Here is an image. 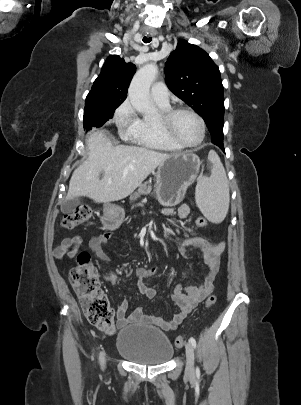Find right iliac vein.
Here are the masks:
<instances>
[{"instance_id":"63e3f726","label":"right iliac vein","mask_w":301,"mask_h":405,"mask_svg":"<svg viewBox=\"0 0 301 405\" xmlns=\"http://www.w3.org/2000/svg\"><path fill=\"white\" fill-rule=\"evenodd\" d=\"M100 363H101L102 368H104L105 364H106V359H105V353L104 352L101 353Z\"/></svg>"}]
</instances>
